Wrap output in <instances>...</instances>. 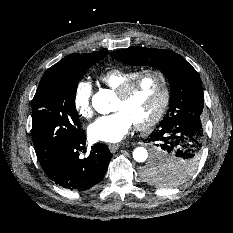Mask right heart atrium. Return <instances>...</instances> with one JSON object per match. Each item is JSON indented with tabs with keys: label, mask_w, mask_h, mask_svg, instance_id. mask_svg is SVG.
Wrapping results in <instances>:
<instances>
[{
	"label": "right heart atrium",
	"mask_w": 233,
	"mask_h": 233,
	"mask_svg": "<svg viewBox=\"0 0 233 233\" xmlns=\"http://www.w3.org/2000/svg\"><path fill=\"white\" fill-rule=\"evenodd\" d=\"M92 84L87 80L77 83L73 94V105L77 113L83 118H90L93 114L92 109Z\"/></svg>",
	"instance_id": "obj_1"
}]
</instances>
